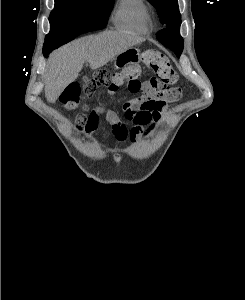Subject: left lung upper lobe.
Here are the masks:
<instances>
[{"instance_id":"left-lung-upper-lobe-1","label":"left lung upper lobe","mask_w":245,"mask_h":300,"mask_svg":"<svg viewBox=\"0 0 245 300\" xmlns=\"http://www.w3.org/2000/svg\"><path fill=\"white\" fill-rule=\"evenodd\" d=\"M156 8L165 29L157 32V39L180 57L183 50V39L180 36L181 15L177 0H149Z\"/></svg>"}]
</instances>
